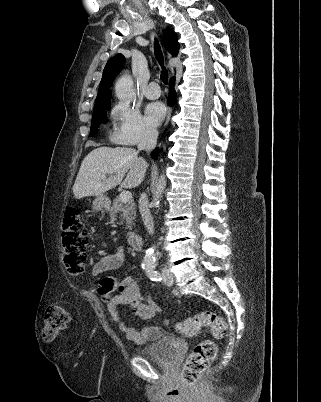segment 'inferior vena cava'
<instances>
[{"mask_svg":"<svg viewBox=\"0 0 321 402\" xmlns=\"http://www.w3.org/2000/svg\"><path fill=\"white\" fill-rule=\"evenodd\" d=\"M158 132L156 129L146 128L141 141L138 145L139 150H145L147 152L152 151L157 144ZM139 211L143 220V223L148 230L149 234L154 233V222L148 208V199L145 193H142L139 198Z\"/></svg>","mask_w":321,"mask_h":402,"instance_id":"obj_1","label":"inferior vena cava"}]
</instances>
